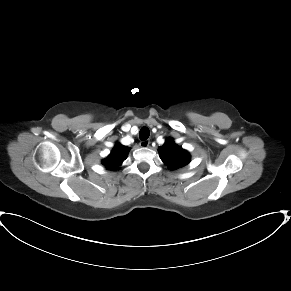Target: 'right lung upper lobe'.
Segmentation results:
<instances>
[{"instance_id":"cb5924a9","label":"right lung upper lobe","mask_w":291,"mask_h":291,"mask_svg":"<svg viewBox=\"0 0 291 291\" xmlns=\"http://www.w3.org/2000/svg\"><path fill=\"white\" fill-rule=\"evenodd\" d=\"M130 148L121 144H116L111 154L102 161L107 169L117 170L126 159Z\"/></svg>"}]
</instances>
